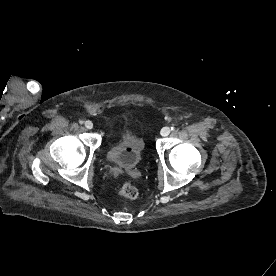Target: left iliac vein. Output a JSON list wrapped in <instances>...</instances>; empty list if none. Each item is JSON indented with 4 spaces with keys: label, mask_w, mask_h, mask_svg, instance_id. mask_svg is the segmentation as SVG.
I'll use <instances>...</instances> for the list:
<instances>
[{
    "label": "left iliac vein",
    "mask_w": 276,
    "mask_h": 276,
    "mask_svg": "<svg viewBox=\"0 0 276 276\" xmlns=\"http://www.w3.org/2000/svg\"><path fill=\"white\" fill-rule=\"evenodd\" d=\"M170 132H171V129L169 127H163L160 133L162 136L165 137V136H168Z\"/></svg>",
    "instance_id": "obj_1"
}]
</instances>
